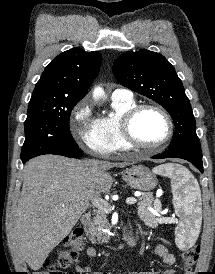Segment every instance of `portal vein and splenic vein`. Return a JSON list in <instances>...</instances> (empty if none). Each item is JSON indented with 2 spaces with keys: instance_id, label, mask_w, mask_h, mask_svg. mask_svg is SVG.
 <instances>
[{
  "instance_id": "obj_1",
  "label": "portal vein and splenic vein",
  "mask_w": 215,
  "mask_h": 274,
  "mask_svg": "<svg viewBox=\"0 0 215 274\" xmlns=\"http://www.w3.org/2000/svg\"><path fill=\"white\" fill-rule=\"evenodd\" d=\"M137 202V199L135 197H129L126 199V203L129 205H133ZM92 204L98 208L99 210H102L106 213L111 212V206L107 201H105L102 198H95L92 200Z\"/></svg>"
}]
</instances>
